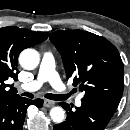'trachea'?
<instances>
[{
  "mask_svg": "<svg viewBox=\"0 0 130 130\" xmlns=\"http://www.w3.org/2000/svg\"><path fill=\"white\" fill-rule=\"evenodd\" d=\"M21 95L25 96V97H28V98H33L34 97V95L32 93H29V92H24ZM45 97L47 99H50V100L62 101V100L68 99L69 95H56V94L47 93V94H45Z\"/></svg>",
  "mask_w": 130,
  "mask_h": 130,
  "instance_id": "1",
  "label": "trachea"
}]
</instances>
